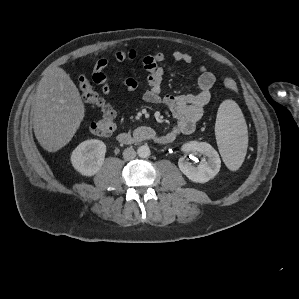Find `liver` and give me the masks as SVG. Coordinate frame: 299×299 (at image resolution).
<instances>
[{
	"instance_id": "liver-1",
	"label": "liver",
	"mask_w": 299,
	"mask_h": 299,
	"mask_svg": "<svg viewBox=\"0 0 299 299\" xmlns=\"http://www.w3.org/2000/svg\"><path fill=\"white\" fill-rule=\"evenodd\" d=\"M33 106L36 139L48 152L67 145L79 129L85 108L69 75L59 67L47 68L39 82Z\"/></svg>"
}]
</instances>
